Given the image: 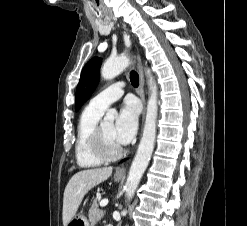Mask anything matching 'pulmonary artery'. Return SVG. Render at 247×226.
Segmentation results:
<instances>
[{"label":"pulmonary artery","instance_id":"1","mask_svg":"<svg viewBox=\"0 0 247 226\" xmlns=\"http://www.w3.org/2000/svg\"><path fill=\"white\" fill-rule=\"evenodd\" d=\"M124 93V83L116 82L102 90L96 96H94L89 106L104 112L109 105L117 101Z\"/></svg>","mask_w":247,"mask_h":226}]
</instances>
